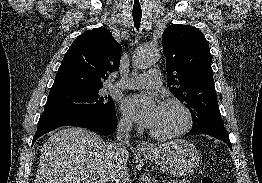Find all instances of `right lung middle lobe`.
<instances>
[{
	"instance_id": "right-lung-middle-lobe-1",
	"label": "right lung middle lobe",
	"mask_w": 262,
	"mask_h": 183,
	"mask_svg": "<svg viewBox=\"0 0 262 183\" xmlns=\"http://www.w3.org/2000/svg\"><path fill=\"white\" fill-rule=\"evenodd\" d=\"M101 89L102 87L50 92L44 111L75 110L101 113L108 109H115L112 97L103 96Z\"/></svg>"
}]
</instances>
